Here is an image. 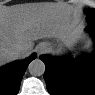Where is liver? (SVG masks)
Returning <instances> with one entry per match:
<instances>
[{
    "mask_svg": "<svg viewBox=\"0 0 95 95\" xmlns=\"http://www.w3.org/2000/svg\"><path fill=\"white\" fill-rule=\"evenodd\" d=\"M76 10L55 3H28L2 6L0 9V64L16 59L13 50L23 49L20 58L27 57L34 47V41L43 38H59L78 27Z\"/></svg>",
    "mask_w": 95,
    "mask_h": 95,
    "instance_id": "6515ba94",
    "label": "liver"
}]
</instances>
